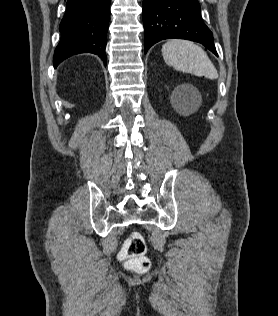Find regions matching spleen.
Segmentation results:
<instances>
[{
  "label": "spleen",
  "instance_id": "spleen-1",
  "mask_svg": "<svg viewBox=\"0 0 278 316\" xmlns=\"http://www.w3.org/2000/svg\"><path fill=\"white\" fill-rule=\"evenodd\" d=\"M162 55L165 62L176 70L209 79L218 77L217 70L206 52L191 41L170 40L162 46Z\"/></svg>",
  "mask_w": 278,
  "mask_h": 316
}]
</instances>
